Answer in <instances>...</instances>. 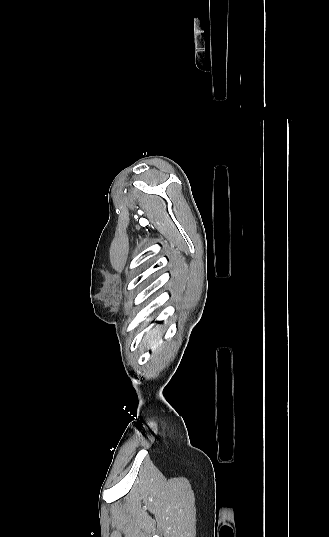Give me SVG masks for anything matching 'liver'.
<instances>
[{
  "label": "liver",
  "instance_id": "liver-1",
  "mask_svg": "<svg viewBox=\"0 0 329 537\" xmlns=\"http://www.w3.org/2000/svg\"><path fill=\"white\" fill-rule=\"evenodd\" d=\"M160 338H161L160 328L156 327L155 329L150 331L145 338L147 342V347L148 348L150 347L154 349L155 351H159L161 349Z\"/></svg>",
  "mask_w": 329,
  "mask_h": 537
}]
</instances>
